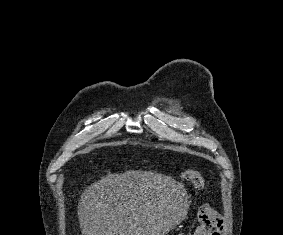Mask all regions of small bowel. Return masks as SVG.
<instances>
[{
	"label": "small bowel",
	"instance_id": "c3829d8e",
	"mask_svg": "<svg viewBox=\"0 0 283 235\" xmlns=\"http://www.w3.org/2000/svg\"><path fill=\"white\" fill-rule=\"evenodd\" d=\"M222 223V218L214 208L205 204L199 210L198 226L193 235H220Z\"/></svg>",
	"mask_w": 283,
	"mask_h": 235
}]
</instances>
